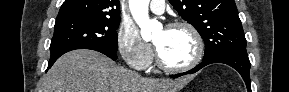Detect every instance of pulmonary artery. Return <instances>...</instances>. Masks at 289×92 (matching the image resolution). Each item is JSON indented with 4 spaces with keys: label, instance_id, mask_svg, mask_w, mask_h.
<instances>
[{
    "label": "pulmonary artery",
    "instance_id": "obj_1",
    "mask_svg": "<svg viewBox=\"0 0 289 92\" xmlns=\"http://www.w3.org/2000/svg\"><path fill=\"white\" fill-rule=\"evenodd\" d=\"M150 10L156 14H162L165 10L164 0H152L150 2Z\"/></svg>",
    "mask_w": 289,
    "mask_h": 92
}]
</instances>
